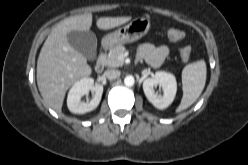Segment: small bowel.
Instances as JSON below:
<instances>
[{
  "label": "small bowel",
  "mask_w": 248,
  "mask_h": 165,
  "mask_svg": "<svg viewBox=\"0 0 248 165\" xmlns=\"http://www.w3.org/2000/svg\"><path fill=\"white\" fill-rule=\"evenodd\" d=\"M168 54L169 48L165 45L156 47L151 43H144L139 47V56L153 67L160 65Z\"/></svg>",
  "instance_id": "1"
}]
</instances>
